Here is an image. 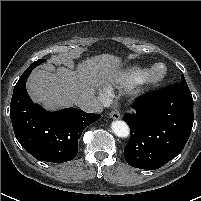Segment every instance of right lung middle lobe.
<instances>
[{
	"instance_id": "obj_1",
	"label": "right lung middle lobe",
	"mask_w": 201,
	"mask_h": 201,
	"mask_svg": "<svg viewBox=\"0 0 201 201\" xmlns=\"http://www.w3.org/2000/svg\"><path fill=\"white\" fill-rule=\"evenodd\" d=\"M43 62H45L44 59H39V60L33 62L31 65H33V66H37V65H39V64H41V63H43Z\"/></svg>"
}]
</instances>
